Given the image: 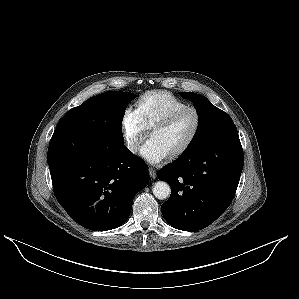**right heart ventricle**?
Wrapping results in <instances>:
<instances>
[{
  "label": "right heart ventricle",
  "instance_id": "1",
  "mask_svg": "<svg viewBox=\"0 0 299 299\" xmlns=\"http://www.w3.org/2000/svg\"><path fill=\"white\" fill-rule=\"evenodd\" d=\"M188 106L186 102L167 91H150L143 94L136 103L138 116L147 129L169 114Z\"/></svg>",
  "mask_w": 299,
  "mask_h": 299
}]
</instances>
